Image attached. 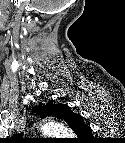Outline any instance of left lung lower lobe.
Masks as SVG:
<instances>
[{
  "label": "left lung lower lobe",
  "instance_id": "left-lung-lower-lobe-1",
  "mask_svg": "<svg viewBox=\"0 0 125 143\" xmlns=\"http://www.w3.org/2000/svg\"><path fill=\"white\" fill-rule=\"evenodd\" d=\"M65 110H66V115L64 117V121L67 122L70 127L73 124L81 122L83 120L80 115L73 113L68 105H66ZM91 135H92V130L88 132V134L85 135L82 134V136L84 137H90Z\"/></svg>",
  "mask_w": 125,
  "mask_h": 143
}]
</instances>
